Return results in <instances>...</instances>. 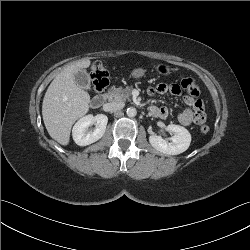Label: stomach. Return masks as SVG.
<instances>
[{
    "mask_svg": "<svg viewBox=\"0 0 250 250\" xmlns=\"http://www.w3.org/2000/svg\"><path fill=\"white\" fill-rule=\"evenodd\" d=\"M155 70L159 75H166V76L170 75L173 72V69L169 65L164 63L157 64ZM145 74L146 70L143 68H135L131 72V76L134 79L142 78L143 76H145Z\"/></svg>",
    "mask_w": 250,
    "mask_h": 250,
    "instance_id": "obj_1",
    "label": "stomach"
}]
</instances>
